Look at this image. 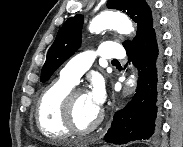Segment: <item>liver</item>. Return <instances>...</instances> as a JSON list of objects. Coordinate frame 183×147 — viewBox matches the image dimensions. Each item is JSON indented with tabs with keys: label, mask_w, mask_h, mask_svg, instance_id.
Returning <instances> with one entry per match:
<instances>
[{
	"label": "liver",
	"mask_w": 183,
	"mask_h": 147,
	"mask_svg": "<svg viewBox=\"0 0 183 147\" xmlns=\"http://www.w3.org/2000/svg\"><path fill=\"white\" fill-rule=\"evenodd\" d=\"M62 145L64 147H73V146H84L81 142L79 141H67V142H63Z\"/></svg>",
	"instance_id": "6515ba94"
}]
</instances>
